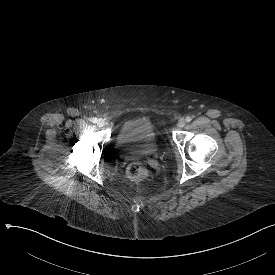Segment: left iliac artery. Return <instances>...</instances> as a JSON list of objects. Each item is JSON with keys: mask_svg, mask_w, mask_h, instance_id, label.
<instances>
[{"mask_svg": "<svg viewBox=\"0 0 275 275\" xmlns=\"http://www.w3.org/2000/svg\"><path fill=\"white\" fill-rule=\"evenodd\" d=\"M192 120V118L190 116L186 117V122H190Z\"/></svg>", "mask_w": 275, "mask_h": 275, "instance_id": "left-iliac-artery-1", "label": "left iliac artery"}]
</instances>
